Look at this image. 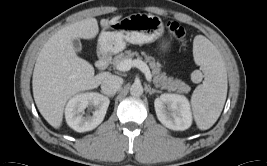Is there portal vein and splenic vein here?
Masks as SVG:
<instances>
[{
  "label": "portal vein and splenic vein",
  "mask_w": 267,
  "mask_h": 166,
  "mask_svg": "<svg viewBox=\"0 0 267 166\" xmlns=\"http://www.w3.org/2000/svg\"><path fill=\"white\" fill-rule=\"evenodd\" d=\"M132 67H136L140 69L145 74V77L148 82L152 81V75H151L150 69L147 66V64L143 62L142 60L125 59L118 64L117 69L119 71L125 72V71H129Z\"/></svg>",
  "instance_id": "obj_1"
}]
</instances>
